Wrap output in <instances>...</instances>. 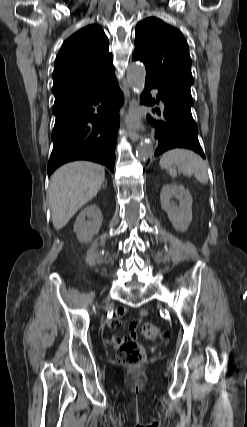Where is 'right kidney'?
Segmentation results:
<instances>
[{
	"label": "right kidney",
	"mask_w": 247,
	"mask_h": 427,
	"mask_svg": "<svg viewBox=\"0 0 247 427\" xmlns=\"http://www.w3.org/2000/svg\"><path fill=\"white\" fill-rule=\"evenodd\" d=\"M102 220V213L97 205L93 204L85 207L74 223V232L77 235V239L81 243L90 242L93 236L98 234Z\"/></svg>",
	"instance_id": "obj_1"
}]
</instances>
